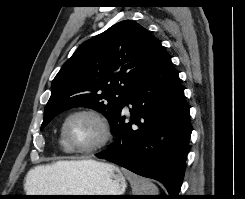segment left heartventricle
<instances>
[{
  "label": "left heart ventricle",
  "instance_id": "b2bd125f",
  "mask_svg": "<svg viewBox=\"0 0 245 199\" xmlns=\"http://www.w3.org/2000/svg\"><path fill=\"white\" fill-rule=\"evenodd\" d=\"M67 133L71 142L79 148L91 147L102 137V129L98 122L86 115L72 118L68 124Z\"/></svg>",
  "mask_w": 245,
  "mask_h": 199
}]
</instances>
